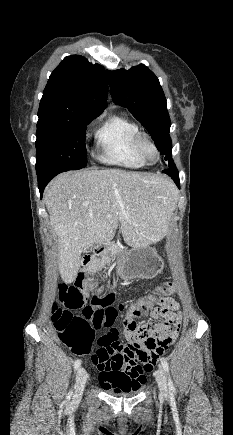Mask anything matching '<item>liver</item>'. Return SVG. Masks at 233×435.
<instances>
[{"label": "liver", "mask_w": 233, "mask_h": 435, "mask_svg": "<svg viewBox=\"0 0 233 435\" xmlns=\"http://www.w3.org/2000/svg\"><path fill=\"white\" fill-rule=\"evenodd\" d=\"M178 199L174 183L160 174L105 169L56 176L44 201L57 236L63 281L73 282L83 250L112 240L118 223L133 248L160 241Z\"/></svg>", "instance_id": "obj_1"}]
</instances>
